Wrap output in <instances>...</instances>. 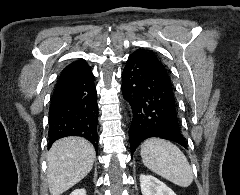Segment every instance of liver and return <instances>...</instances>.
<instances>
[{"label": "liver", "mask_w": 240, "mask_h": 195, "mask_svg": "<svg viewBox=\"0 0 240 195\" xmlns=\"http://www.w3.org/2000/svg\"><path fill=\"white\" fill-rule=\"evenodd\" d=\"M95 149L84 137H62L53 143L47 155V177L51 195H60L93 167Z\"/></svg>", "instance_id": "6515ba94"}]
</instances>
